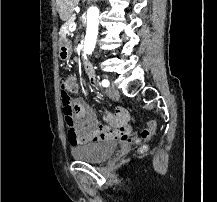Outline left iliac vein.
<instances>
[{
    "mask_svg": "<svg viewBox=\"0 0 217 202\" xmlns=\"http://www.w3.org/2000/svg\"><path fill=\"white\" fill-rule=\"evenodd\" d=\"M107 96L111 99L118 98L120 96L118 90L114 86H110L106 89Z\"/></svg>",
    "mask_w": 217,
    "mask_h": 202,
    "instance_id": "1",
    "label": "left iliac vein"
}]
</instances>
